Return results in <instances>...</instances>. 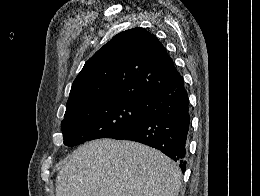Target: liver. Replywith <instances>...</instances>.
Here are the masks:
<instances>
[{
  "mask_svg": "<svg viewBox=\"0 0 260 196\" xmlns=\"http://www.w3.org/2000/svg\"><path fill=\"white\" fill-rule=\"evenodd\" d=\"M181 170L165 154L128 140H92L66 160L56 196H178Z\"/></svg>",
  "mask_w": 260,
  "mask_h": 196,
  "instance_id": "obj_1",
  "label": "liver"
}]
</instances>
